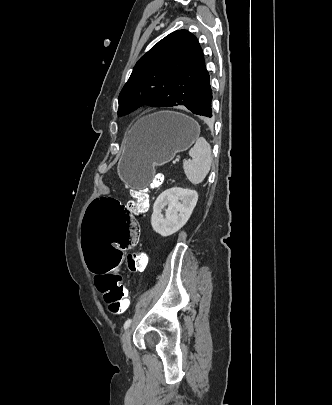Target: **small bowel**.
Wrapping results in <instances>:
<instances>
[{"instance_id": "small-bowel-1", "label": "small bowel", "mask_w": 332, "mask_h": 405, "mask_svg": "<svg viewBox=\"0 0 332 405\" xmlns=\"http://www.w3.org/2000/svg\"><path fill=\"white\" fill-rule=\"evenodd\" d=\"M135 220H137V219L135 218ZM137 227H139V223H138V221H137ZM136 245H137V243H136Z\"/></svg>"}]
</instances>
